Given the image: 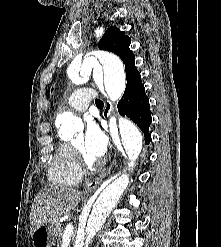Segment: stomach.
Masks as SVG:
<instances>
[{"label":"stomach","instance_id":"stomach-1","mask_svg":"<svg viewBox=\"0 0 221 247\" xmlns=\"http://www.w3.org/2000/svg\"><path fill=\"white\" fill-rule=\"evenodd\" d=\"M53 224L42 225L31 234L33 247H51L54 241Z\"/></svg>","mask_w":221,"mask_h":247}]
</instances>
